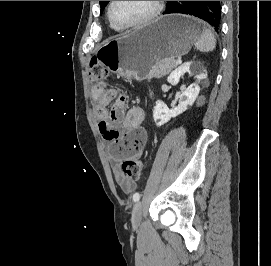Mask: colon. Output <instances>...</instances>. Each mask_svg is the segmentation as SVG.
I'll list each match as a JSON object with an SVG mask.
<instances>
[{"instance_id":"obj_1","label":"colon","mask_w":271,"mask_h":266,"mask_svg":"<svg viewBox=\"0 0 271 266\" xmlns=\"http://www.w3.org/2000/svg\"><path fill=\"white\" fill-rule=\"evenodd\" d=\"M107 71L97 62H92L89 68V80L100 83L107 78ZM124 98L125 95L121 94ZM121 172L130 180L136 182L142 176V163L138 159H128L121 163Z\"/></svg>"}]
</instances>
